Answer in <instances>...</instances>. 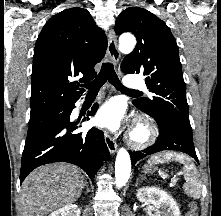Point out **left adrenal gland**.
<instances>
[{"label":"left adrenal gland","mask_w":221,"mask_h":216,"mask_svg":"<svg viewBox=\"0 0 221 216\" xmlns=\"http://www.w3.org/2000/svg\"><path fill=\"white\" fill-rule=\"evenodd\" d=\"M137 184H138V181H136V184H135V186H137Z\"/></svg>","instance_id":"left-adrenal-gland-1"}]
</instances>
